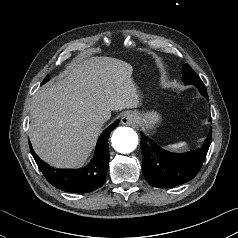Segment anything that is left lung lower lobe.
Segmentation results:
<instances>
[{
  "label": "left lung lower lobe",
  "instance_id": "1",
  "mask_svg": "<svg viewBox=\"0 0 238 238\" xmlns=\"http://www.w3.org/2000/svg\"><path fill=\"white\" fill-rule=\"evenodd\" d=\"M142 136V170L148 183L157 188H170L184 184L199 172L211 144V135L200 149L186 153H173Z\"/></svg>",
  "mask_w": 238,
  "mask_h": 238
}]
</instances>
